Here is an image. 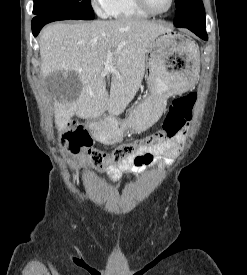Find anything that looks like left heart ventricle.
<instances>
[{"label":"left heart ventricle","mask_w":247,"mask_h":275,"mask_svg":"<svg viewBox=\"0 0 247 275\" xmlns=\"http://www.w3.org/2000/svg\"><path fill=\"white\" fill-rule=\"evenodd\" d=\"M150 7L155 11H164L169 7L170 0H147Z\"/></svg>","instance_id":"1"}]
</instances>
